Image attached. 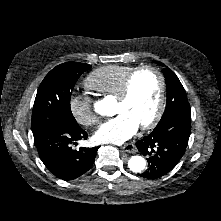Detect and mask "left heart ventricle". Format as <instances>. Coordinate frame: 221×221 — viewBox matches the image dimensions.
I'll use <instances>...</instances> for the list:
<instances>
[{
	"label": "left heart ventricle",
	"instance_id": "left-heart-ventricle-1",
	"mask_svg": "<svg viewBox=\"0 0 221 221\" xmlns=\"http://www.w3.org/2000/svg\"><path fill=\"white\" fill-rule=\"evenodd\" d=\"M158 98L157 75L151 71H144L134 79L129 98L125 102L116 101L114 113H126L140 126L151 120L155 114Z\"/></svg>",
	"mask_w": 221,
	"mask_h": 221
}]
</instances>
